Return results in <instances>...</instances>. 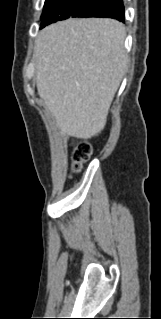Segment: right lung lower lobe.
Wrapping results in <instances>:
<instances>
[{
  "label": "right lung lower lobe",
  "mask_w": 161,
  "mask_h": 319,
  "mask_svg": "<svg viewBox=\"0 0 161 319\" xmlns=\"http://www.w3.org/2000/svg\"><path fill=\"white\" fill-rule=\"evenodd\" d=\"M81 17H108L125 22L122 0H99L97 4Z\"/></svg>",
  "instance_id": "1"
}]
</instances>
